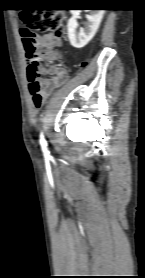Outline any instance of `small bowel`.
<instances>
[{
  "label": "small bowel",
  "instance_id": "1",
  "mask_svg": "<svg viewBox=\"0 0 145 278\" xmlns=\"http://www.w3.org/2000/svg\"><path fill=\"white\" fill-rule=\"evenodd\" d=\"M36 40L40 45L53 44L55 47H60L62 45L61 38L52 34L40 35L36 38ZM37 70L42 75L50 77L40 80L42 92L44 95L47 96L50 95L56 88L60 87L68 80V72L66 68L61 66L51 65L49 67H45L39 64L37 66Z\"/></svg>",
  "mask_w": 145,
  "mask_h": 278
}]
</instances>
